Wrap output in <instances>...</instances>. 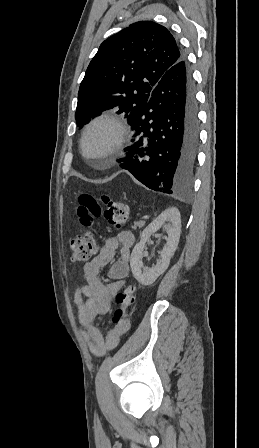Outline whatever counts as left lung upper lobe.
Segmentation results:
<instances>
[{
  "label": "left lung upper lobe",
  "mask_w": 259,
  "mask_h": 448,
  "mask_svg": "<svg viewBox=\"0 0 259 448\" xmlns=\"http://www.w3.org/2000/svg\"><path fill=\"white\" fill-rule=\"evenodd\" d=\"M182 56L173 35L152 21L136 22L112 35L100 45L80 84L77 125L114 107L128 118L147 104L160 78Z\"/></svg>",
  "instance_id": "obj_1"
}]
</instances>
